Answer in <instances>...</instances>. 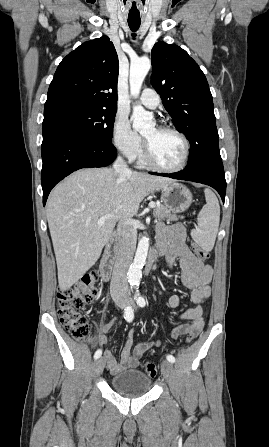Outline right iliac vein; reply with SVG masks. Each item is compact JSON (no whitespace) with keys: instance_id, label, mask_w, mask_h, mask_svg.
<instances>
[{"instance_id":"63e3f726","label":"right iliac vein","mask_w":269,"mask_h":447,"mask_svg":"<svg viewBox=\"0 0 269 447\" xmlns=\"http://www.w3.org/2000/svg\"><path fill=\"white\" fill-rule=\"evenodd\" d=\"M117 305L119 308L123 309V308H125L126 303H125V301H118ZM104 366H105V359L103 357H101L95 362L94 372L96 374H100L102 372Z\"/></svg>"}]
</instances>
